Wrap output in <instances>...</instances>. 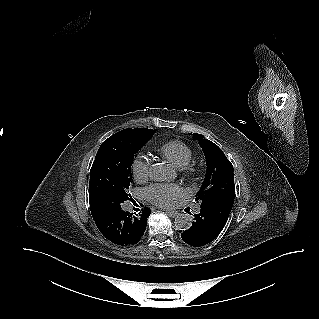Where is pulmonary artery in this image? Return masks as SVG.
<instances>
[{"instance_id": "e3ab8cb5", "label": "pulmonary artery", "mask_w": 319, "mask_h": 319, "mask_svg": "<svg viewBox=\"0 0 319 319\" xmlns=\"http://www.w3.org/2000/svg\"><path fill=\"white\" fill-rule=\"evenodd\" d=\"M200 212V206H197L196 208H195V213H199Z\"/></svg>"}]
</instances>
